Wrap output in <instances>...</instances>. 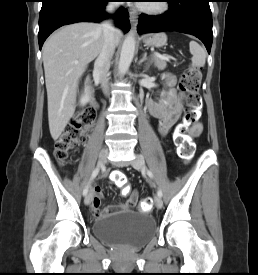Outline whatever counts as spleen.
<instances>
[{"label":"spleen","instance_id":"1","mask_svg":"<svg viewBox=\"0 0 258 275\" xmlns=\"http://www.w3.org/2000/svg\"><path fill=\"white\" fill-rule=\"evenodd\" d=\"M189 48L192 54V64L196 67H203L206 61L204 49L196 41H190Z\"/></svg>","mask_w":258,"mask_h":275}]
</instances>
